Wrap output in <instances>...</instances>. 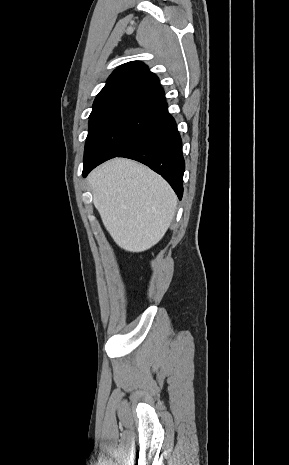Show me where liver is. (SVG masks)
I'll return each mask as SVG.
<instances>
[{"mask_svg":"<svg viewBox=\"0 0 289 465\" xmlns=\"http://www.w3.org/2000/svg\"><path fill=\"white\" fill-rule=\"evenodd\" d=\"M87 180L94 206L119 247L142 252L163 238L177 197L162 177L145 165L115 158L95 168Z\"/></svg>","mask_w":289,"mask_h":465,"instance_id":"1","label":"liver"}]
</instances>
